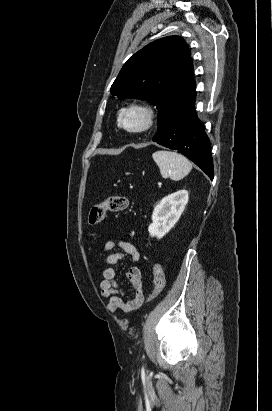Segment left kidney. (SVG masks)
<instances>
[{"label": "left kidney", "mask_w": 272, "mask_h": 411, "mask_svg": "<svg viewBox=\"0 0 272 411\" xmlns=\"http://www.w3.org/2000/svg\"><path fill=\"white\" fill-rule=\"evenodd\" d=\"M188 199L186 190H179L164 197L154 208L152 223L148 227L150 236L158 239L165 236L178 222Z\"/></svg>", "instance_id": "left-kidney-1"}]
</instances>
